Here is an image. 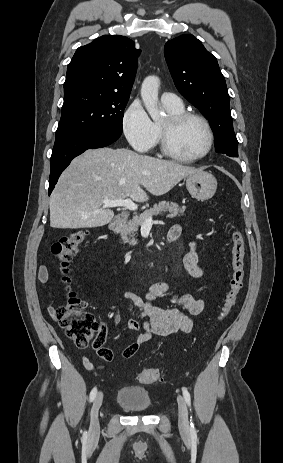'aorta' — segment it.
I'll return each mask as SVG.
<instances>
[{"mask_svg": "<svg viewBox=\"0 0 283 463\" xmlns=\"http://www.w3.org/2000/svg\"><path fill=\"white\" fill-rule=\"evenodd\" d=\"M160 80L156 76H148L144 79L141 86V97L144 106L153 121L162 119L163 113L158 108V89Z\"/></svg>", "mask_w": 283, "mask_h": 463, "instance_id": "762f6f07", "label": "aorta"}]
</instances>
